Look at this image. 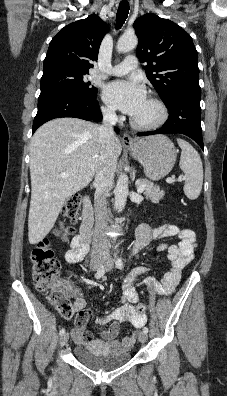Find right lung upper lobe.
Segmentation results:
<instances>
[{
    "mask_svg": "<svg viewBox=\"0 0 227 396\" xmlns=\"http://www.w3.org/2000/svg\"><path fill=\"white\" fill-rule=\"evenodd\" d=\"M107 31L108 27L95 14L65 26L49 44L43 71L69 68L89 72Z\"/></svg>",
    "mask_w": 227,
    "mask_h": 396,
    "instance_id": "obj_1",
    "label": "right lung upper lobe"
}]
</instances>
